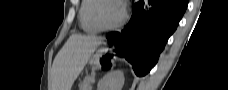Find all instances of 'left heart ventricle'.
Here are the masks:
<instances>
[{"instance_id": "left-heart-ventricle-1", "label": "left heart ventricle", "mask_w": 228, "mask_h": 90, "mask_svg": "<svg viewBox=\"0 0 228 90\" xmlns=\"http://www.w3.org/2000/svg\"><path fill=\"white\" fill-rule=\"evenodd\" d=\"M98 15L105 25H113L122 16V7L117 3L105 2L101 4Z\"/></svg>"}]
</instances>
